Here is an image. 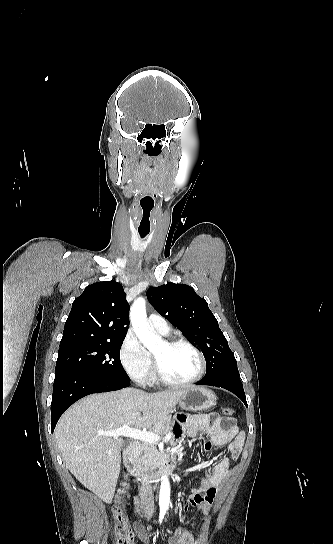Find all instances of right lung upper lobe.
Here are the masks:
<instances>
[{
    "mask_svg": "<svg viewBox=\"0 0 333 544\" xmlns=\"http://www.w3.org/2000/svg\"><path fill=\"white\" fill-rule=\"evenodd\" d=\"M129 305L122 285L114 280L87 286L74 300L60 348L126 336Z\"/></svg>",
    "mask_w": 333,
    "mask_h": 544,
    "instance_id": "right-lung-upper-lobe-1",
    "label": "right lung upper lobe"
}]
</instances>
